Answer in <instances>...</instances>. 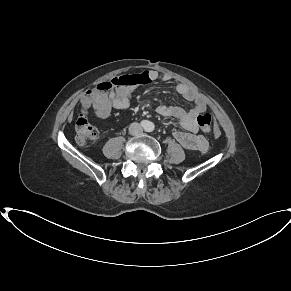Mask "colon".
I'll return each mask as SVG.
<instances>
[{
  "label": "colon",
  "instance_id": "colon-1",
  "mask_svg": "<svg viewBox=\"0 0 291 291\" xmlns=\"http://www.w3.org/2000/svg\"><path fill=\"white\" fill-rule=\"evenodd\" d=\"M139 81L141 79L138 75H122L97 84L82 100V111L75 123L77 142L87 145L97 138V130L91 125L87 116L88 109L93 107L95 100L106 98V94L113 88L128 87ZM197 123L205 133H209L212 130L213 119L208 113L198 116Z\"/></svg>",
  "mask_w": 291,
  "mask_h": 291
}]
</instances>
